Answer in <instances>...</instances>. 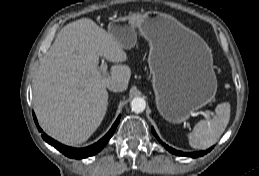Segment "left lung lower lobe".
Masks as SVG:
<instances>
[{
    "instance_id": "0a47b994",
    "label": "left lung lower lobe",
    "mask_w": 259,
    "mask_h": 176,
    "mask_svg": "<svg viewBox=\"0 0 259 176\" xmlns=\"http://www.w3.org/2000/svg\"><path fill=\"white\" fill-rule=\"evenodd\" d=\"M152 133L156 136V138L162 143V145L171 153L176 154V155H180V156H189V157H198V156H203L205 155L207 152H209L211 150V148L209 150L203 151V152H195V153H183L177 150H174L173 148L168 147L166 144H164L157 136V134L155 133V130L152 128Z\"/></svg>"
}]
</instances>
